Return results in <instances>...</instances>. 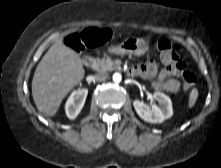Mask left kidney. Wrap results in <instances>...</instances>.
Listing matches in <instances>:
<instances>
[{"label": "left kidney", "mask_w": 221, "mask_h": 168, "mask_svg": "<svg viewBox=\"0 0 221 168\" xmlns=\"http://www.w3.org/2000/svg\"><path fill=\"white\" fill-rule=\"evenodd\" d=\"M153 98L158 101V105L153 104L150 108L140 100H134V109L144 121L149 123H162L173 115L171 99L162 92H155Z\"/></svg>", "instance_id": "left-kidney-1"}]
</instances>
